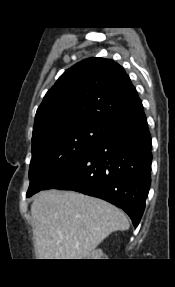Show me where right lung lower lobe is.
Returning a JSON list of instances; mask_svg holds the SVG:
<instances>
[{
	"instance_id": "98d812e1",
	"label": "right lung lower lobe",
	"mask_w": 175,
	"mask_h": 287,
	"mask_svg": "<svg viewBox=\"0 0 175 287\" xmlns=\"http://www.w3.org/2000/svg\"><path fill=\"white\" fill-rule=\"evenodd\" d=\"M151 136L143 107L108 125L81 159L44 189L74 190L123 209L137 226L151 183Z\"/></svg>"
}]
</instances>
